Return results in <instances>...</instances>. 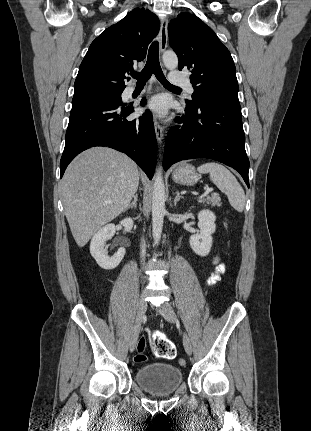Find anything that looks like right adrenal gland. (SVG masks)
Here are the masks:
<instances>
[{
  "label": "right adrenal gland",
  "mask_w": 311,
  "mask_h": 431,
  "mask_svg": "<svg viewBox=\"0 0 311 431\" xmlns=\"http://www.w3.org/2000/svg\"><path fill=\"white\" fill-rule=\"evenodd\" d=\"M134 200L133 202H131L130 206H128V208H126V210H124V212H127V210H132V208H137V200H138V194H136V196H133Z\"/></svg>",
  "instance_id": "right-adrenal-gland-1"
}]
</instances>
